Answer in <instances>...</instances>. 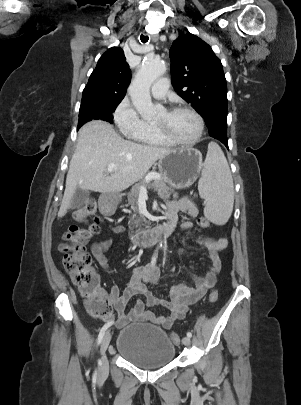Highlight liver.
<instances>
[{"label": "liver", "instance_id": "1", "mask_svg": "<svg viewBox=\"0 0 301 405\" xmlns=\"http://www.w3.org/2000/svg\"><path fill=\"white\" fill-rule=\"evenodd\" d=\"M168 152V148L125 140L107 122L86 123L78 132L58 218L67 213L77 188L100 193L120 192L141 180ZM113 163L116 167L108 174V165Z\"/></svg>", "mask_w": 301, "mask_h": 405}]
</instances>
